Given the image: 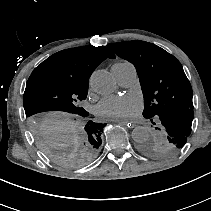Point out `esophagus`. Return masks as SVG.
Masks as SVG:
<instances>
[{
	"instance_id": "obj_1",
	"label": "esophagus",
	"mask_w": 211,
	"mask_h": 211,
	"mask_svg": "<svg viewBox=\"0 0 211 211\" xmlns=\"http://www.w3.org/2000/svg\"><path fill=\"white\" fill-rule=\"evenodd\" d=\"M113 122L125 125L128 130H131L133 128V124L130 121H123V120H113Z\"/></svg>"
}]
</instances>
